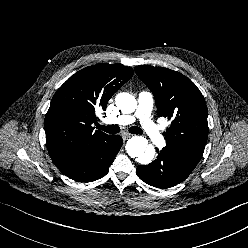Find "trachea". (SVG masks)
Masks as SVG:
<instances>
[{"label":"trachea","mask_w":248,"mask_h":248,"mask_svg":"<svg viewBox=\"0 0 248 248\" xmlns=\"http://www.w3.org/2000/svg\"><path fill=\"white\" fill-rule=\"evenodd\" d=\"M98 128L107 132V133H110V134H116V133L120 132V127L118 125H108V126L99 125ZM129 132L132 134H142L143 133V131L139 127H136V126L129 128Z\"/></svg>","instance_id":"obj_1"}]
</instances>
